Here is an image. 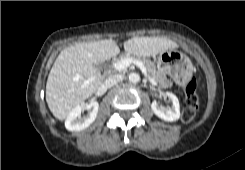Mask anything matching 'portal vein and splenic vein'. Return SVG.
Listing matches in <instances>:
<instances>
[{
	"instance_id": "obj_1",
	"label": "portal vein and splenic vein",
	"mask_w": 245,
	"mask_h": 170,
	"mask_svg": "<svg viewBox=\"0 0 245 170\" xmlns=\"http://www.w3.org/2000/svg\"><path fill=\"white\" fill-rule=\"evenodd\" d=\"M131 64H135L138 68H140V70L146 77H148L152 82H154L153 79H151L148 76V73H147V70L144 64L138 60H135L132 58H125V59L115 62L112 67L118 71H122V70L127 69Z\"/></svg>"
}]
</instances>
